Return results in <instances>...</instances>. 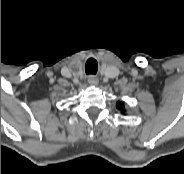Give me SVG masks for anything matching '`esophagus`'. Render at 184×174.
Wrapping results in <instances>:
<instances>
[{"mask_svg":"<svg viewBox=\"0 0 184 174\" xmlns=\"http://www.w3.org/2000/svg\"><path fill=\"white\" fill-rule=\"evenodd\" d=\"M98 78L96 77V76H94V75H90L89 77H88V83L90 84V85H97L98 84Z\"/></svg>","mask_w":184,"mask_h":174,"instance_id":"1","label":"esophagus"}]
</instances>
